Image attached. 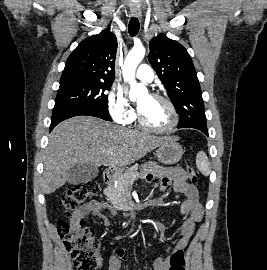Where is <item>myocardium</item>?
<instances>
[{
    "mask_svg": "<svg viewBox=\"0 0 267 270\" xmlns=\"http://www.w3.org/2000/svg\"><path fill=\"white\" fill-rule=\"evenodd\" d=\"M152 97L163 102L167 106V108L169 109L170 115H171V121L164 128H155V127H151V126L147 125L143 121L140 113H138L137 123H138L139 127L147 132L155 133V134H167V133L172 132L176 128V126L178 124V120H179L178 112H177L174 104L172 103V101L170 99H168L167 97H165L161 94H154Z\"/></svg>",
    "mask_w": 267,
    "mask_h": 270,
    "instance_id": "myocardium-1",
    "label": "myocardium"
}]
</instances>
